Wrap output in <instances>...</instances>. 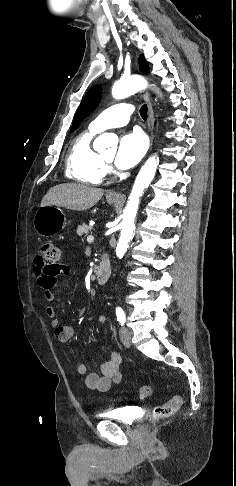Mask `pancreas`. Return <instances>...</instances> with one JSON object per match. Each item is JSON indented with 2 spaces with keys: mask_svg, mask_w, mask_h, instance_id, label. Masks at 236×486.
I'll return each instance as SVG.
<instances>
[{
  "mask_svg": "<svg viewBox=\"0 0 236 486\" xmlns=\"http://www.w3.org/2000/svg\"><path fill=\"white\" fill-rule=\"evenodd\" d=\"M91 230H92V227L90 225L83 223L82 225L78 226L77 234L79 236L88 235L91 232Z\"/></svg>",
  "mask_w": 236,
  "mask_h": 486,
  "instance_id": "1",
  "label": "pancreas"
}]
</instances>
